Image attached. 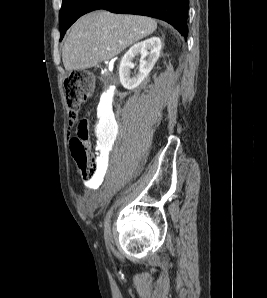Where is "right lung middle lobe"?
Returning <instances> with one entry per match:
<instances>
[{
    "label": "right lung middle lobe",
    "mask_w": 267,
    "mask_h": 298,
    "mask_svg": "<svg viewBox=\"0 0 267 298\" xmlns=\"http://www.w3.org/2000/svg\"><path fill=\"white\" fill-rule=\"evenodd\" d=\"M98 0H63L59 12L60 32L62 40L66 30L82 15L90 12Z\"/></svg>",
    "instance_id": "right-lung-middle-lobe-1"
}]
</instances>
